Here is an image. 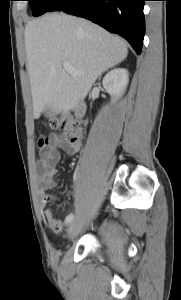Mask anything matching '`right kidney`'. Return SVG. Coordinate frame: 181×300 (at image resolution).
<instances>
[{
    "label": "right kidney",
    "instance_id": "obj_1",
    "mask_svg": "<svg viewBox=\"0 0 181 300\" xmlns=\"http://www.w3.org/2000/svg\"><path fill=\"white\" fill-rule=\"evenodd\" d=\"M129 81L128 71L116 68L108 72L103 78V87L111 95L112 99H118L124 93Z\"/></svg>",
    "mask_w": 181,
    "mask_h": 300
}]
</instances>
